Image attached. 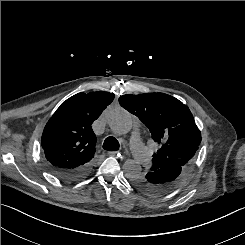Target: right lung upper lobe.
<instances>
[{
  "label": "right lung upper lobe",
  "instance_id": "obj_1",
  "mask_svg": "<svg viewBox=\"0 0 245 245\" xmlns=\"http://www.w3.org/2000/svg\"><path fill=\"white\" fill-rule=\"evenodd\" d=\"M114 97L109 92L78 93L64 101L42 134L46 163L67 169L91 163L96 151V136L91 125Z\"/></svg>",
  "mask_w": 245,
  "mask_h": 245
}]
</instances>
